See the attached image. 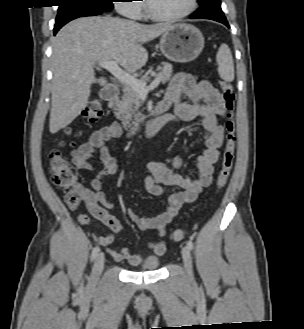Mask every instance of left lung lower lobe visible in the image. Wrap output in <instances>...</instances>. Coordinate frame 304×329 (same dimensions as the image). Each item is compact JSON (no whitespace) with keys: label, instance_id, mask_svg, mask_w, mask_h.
<instances>
[{"label":"left lung lower lobe","instance_id":"1","mask_svg":"<svg viewBox=\"0 0 304 329\" xmlns=\"http://www.w3.org/2000/svg\"><path fill=\"white\" fill-rule=\"evenodd\" d=\"M220 0H204L200 3V8L195 11L190 18L191 19H210L220 23H223L230 28L226 17L220 7Z\"/></svg>","mask_w":304,"mask_h":329}]
</instances>
